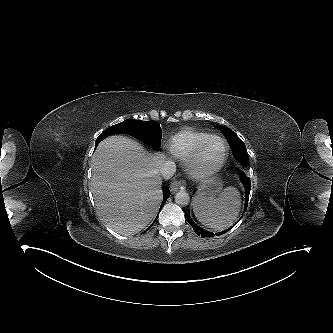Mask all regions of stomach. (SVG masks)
<instances>
[{
  "label": "stomach",
  "instance_id": "1",
  "mask_svg": "<svg viewBox=\"0 0 333 333\" xmlns=\"http://www.w3.org/2000/svg\"><path fill=\"white\" fill-rule=\"evenodd\" d=\"M222 188V183L218 179H210L204 183L198 191V196L210 198L216 196Z\"/></svg>",
  "mask_w": 333,
  "mask_h": 333
}]
</instances>
